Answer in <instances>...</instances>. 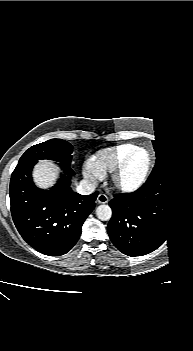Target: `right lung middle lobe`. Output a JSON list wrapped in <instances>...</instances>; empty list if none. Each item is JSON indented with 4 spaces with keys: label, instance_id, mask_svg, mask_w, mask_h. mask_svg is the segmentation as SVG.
<instances>
[{
    "label": "right lung middle lobe",
    "instance_id": "right-lung-middle-lobe-1",
    "mask_svg": "<svg viewBox=\"0 0 193 351\" xmlns=\"http://www.w3.org/2000/svg\"><path fill=\"white\" fill-rule=\"evenodd\" d=\"M72 145L62 139H50L29 148L20 160L41 159L54 160L65 165H70L72 160ZM19 160V161H20Z\"/></svg>",
    "mask_w": 193,
    "mask_h": 351
}]
</instances>
